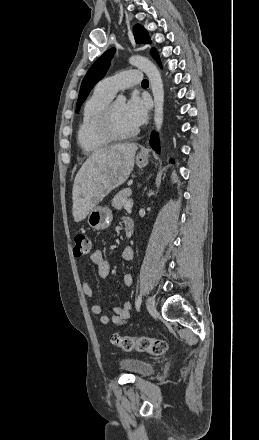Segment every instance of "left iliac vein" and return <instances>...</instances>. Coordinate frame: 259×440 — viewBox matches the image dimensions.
Returning a JSON list of instances; mask_svg holds the SVG:
<instances>
[{
  "instance_id": "obj_1",
  "label": "left iliac vein",
  "mask_w": 259,
  "mask_h": 440,
  "mask_svg": "<svg viewBox=\"0 0 259 440\" xmlns=\"http://www.w3.org/2000/svg\"><path fill=\"white\" fill-rule=\"evenodd\" d=\"M146 305H147V309L148 311L152 312L155 310V298L154 296H149L147 301H146Z\"/></svg>"
}]
</instances>
